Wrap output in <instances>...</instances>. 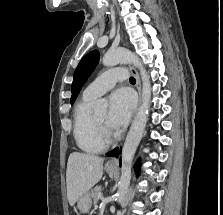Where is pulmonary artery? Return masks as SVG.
<instances>
[{"mask_svg":"<svg viewBox=\"0 0 223 215\" xmlns=\"http://www.w3.org/2000/svg\"><path fill=\"white\" fill-rule=\"evenodd\" d=\"M129 73V69H107L106 73L97 77L85 88L84 95L92 98L98 97L113 88L117 82L124 80L125 74Z\"/></svg>","mask_w":223,"mask_h":215,"instance_id":"e3ab8cb5","label":"pulmonary artery"}]
</instances>
